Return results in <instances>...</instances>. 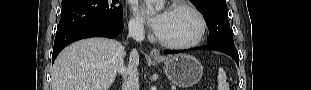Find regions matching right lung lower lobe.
<instances>
[{"label": "right lung lower lobe", "instance_id": "98d812e1", "mask_svg": "<svg viewBox=\"0 0 311 90\" xmlns=\"http://www.w3.org/2000/svg\"><path fill=\"white\" fill-rule=\"evenodd\" d=\"M124 23H106V22H87L74 25L64 30L57 31L52 62L55 61L57 55L70 43L89 37H117L123 30Z\"/></svg>", "mask_w": 311, "mask_h": 90}]
</instances>
